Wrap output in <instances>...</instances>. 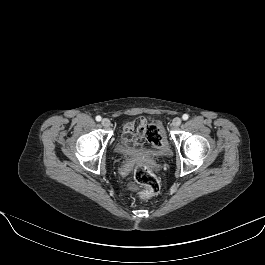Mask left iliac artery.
<instances>
[{"mask_svg":"<svg viewBox=\"0 0 265 265\" xmlns=\"http://www.w3.org/2000/svg\"><path fill=\"white\" fill-rule=\"evenodd\" d=\"M189 118V115L188 114H184L183 116H182V119L183 120H187Z\"/></svg>","mask_w":265,"mask_h":265,"instance_id":"obj_1","label":"left iliac artery"}]
</instances>
